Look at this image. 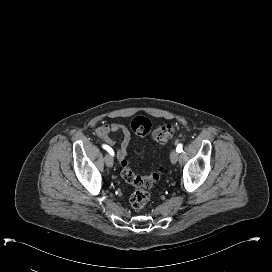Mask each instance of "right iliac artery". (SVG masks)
<instances>
[{"instance_id":"82829eb1","label":"right iliac artery","mask_w":272,"mask_h":272,"mask_svg":"<svg viewBox=\"0 0 272 272\" xmlns=\"http://www.w3.org/2000/svg\"><path fill=\"white\" fill-rule=\"evenodd\" d=\"M102 148L105 149V150H107L108 153H110L112 156H114V151L109 146L103 144Z\"/></svg>"}]
</instances>
